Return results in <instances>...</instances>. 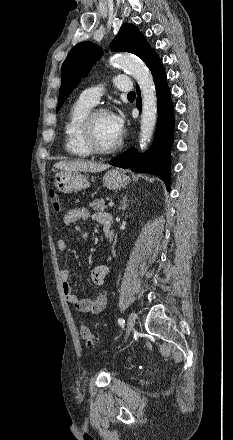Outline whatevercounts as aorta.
<instances>
[{"instance_id": "obj_1", "label": "aorta", "mask_w": 233, "mask_h": 440, "mask_svg": "<svg viewBox=\"0 0 233 440\" xmlns=\"http://www.w3.org/2000/svg\"><path fill=\"white\" fill-rule=\"evenodd\" d=\"M112 64L123 68L140 87L142 95L140 146L145 147L151 140L157 120V99L153 76L144 62L131 54L114 57Z\"/></svg>"}]
</instances>
